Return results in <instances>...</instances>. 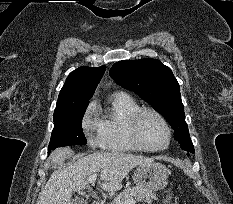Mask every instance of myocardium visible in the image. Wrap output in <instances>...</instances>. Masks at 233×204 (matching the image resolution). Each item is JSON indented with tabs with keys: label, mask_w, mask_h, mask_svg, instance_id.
<instances>
[{
	"label": "myocardium",
	"mask_w": 233,
	"mask_h": 204,
	"mask_svg": "<svg viewBox=\"0 0 233 204\" xmlns=\"http://www.w3.org/2000/svg\"><path fill=\"white\" fill-rule=\"evenodd\" d=\"M145 114H152L155 117H157L163 126L165 127L167 131V142L164 146L158 147V148H151L148 147L141 139L140 132H139V123L143 115ZM128 132L129 136L134 143V145L141 151L145 152H160L165 149H167L171 143L172 140V130L168 123V121L165 119V117L158 112L155 109L152 108H139L137 111H135L128 120Z\"/></svg>",
	"instance_id": "myocardium-1"
}]
</instances>
